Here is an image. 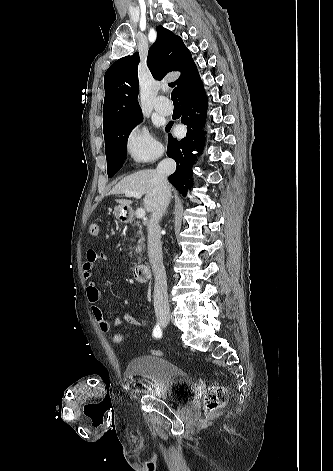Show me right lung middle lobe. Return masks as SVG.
Segmentation results:
<instances>
[{
	"label": "right lung middle lobe",
	"instance_id": "dd1d6c3e",
	"mask_svg": "<svg viewBox=\"0 0 333 471\" xmlns=\"http://www.w3.org/2000/svg\"><path fill=\"white\" fill-rule=\"evenodd\" d=\"M142 119V114H139L104 131L108 177H112L123 166L129 134Z\"/></svg>",
	"mask_w": 333,
	"mask_h": 471
}]
</instances>
